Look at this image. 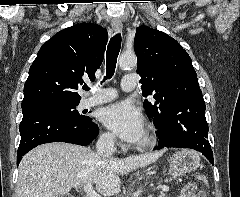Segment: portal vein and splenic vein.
Instances as JSON below:
<instances>
[{"instance_id":"18ae733b","label":"portal vein and splenic vein","mask_w":240,"mask_h":197,"mask_svg":"<svg viewBox=\"0 0 240 197\" xmlns=\"http://www.w3.org/2000/svg\"><path fill=\"white\" fill-rule=\"evenodd\" d=\"M83 191L86 193V197H101L97 192L93 190L91 183L86 184L82 187Z\"/></svg>"}]
</instances>
